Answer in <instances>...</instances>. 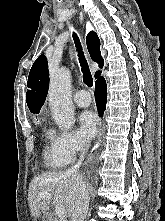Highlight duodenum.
Segmentation results:
<instances>
[{
    "label": "duodenum",
    "mask_w": 165,
    "mask_h": 221,
    "mask_svg": "<svg viewBox=\"0 0 165 221\" xmlns=\"http://www.w3.org/2000/svg\"><path fill=\"white\" fill-rule=\"evenodd\" d=\"M44 221H49V218H45Z\"/></svg>",
    "instance_id": "410a0bca"
}]
</instances>
